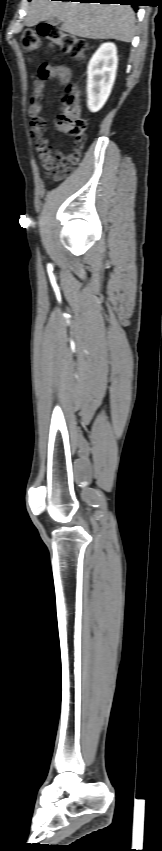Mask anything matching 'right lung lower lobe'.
Returning <instances> with one entry per match:
<instances>
[{
    "instance_id": "right-lung-lower-lobe-1",
    "label": "right lung lower lobe",
    "mask_w": 162,
    "mask_h": 851,
    "mask_svg": "<svg viewBox=\"0 0 162 851\" xmlns=\"http://www.w3.org/2000/svg\"><path fill=\"white\" fill-rule=\"evenodd\" d=\"M74 1V0H62ZM80 2L101 3V4H121V5H140L139 0H78Z\"/></svg>"
}]
</instances>
